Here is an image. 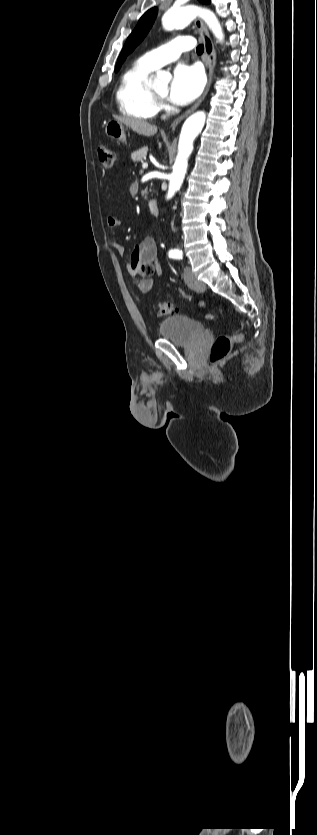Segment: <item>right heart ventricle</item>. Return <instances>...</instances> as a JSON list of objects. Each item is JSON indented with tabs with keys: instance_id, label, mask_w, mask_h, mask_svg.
<instances>
[{
	"instance_id": "1",
	"label": "right heart ventricle",
	"mask_w": 317,
	"mask_h": 835,
	"mask_svg": "<svg viewBox=\"0 0 317 835\" xmlns=\"http://www.w3.org/2000/svg\"><path fill=\"white\" fill-rule=\"evenodd\" d=\"M154 70L142 59L125 70L116 91V100L122 114L140 120L153 118L159 111V102L153 97L148 79Z\"/></svg>"
}]
</instances>
